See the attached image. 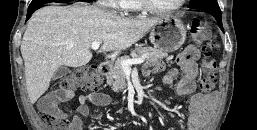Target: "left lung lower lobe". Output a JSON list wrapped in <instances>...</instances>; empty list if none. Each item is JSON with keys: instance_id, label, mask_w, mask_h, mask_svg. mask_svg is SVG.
<instances>
[{"instance_id": "obj_1", "label": "left lung lower lobe", "mask_w": 257, "mask_h": 130, "mask_svg": "<svg viewBox=\"0 0 257 130\" xmlns=\"http://www.w3.org/2000/svg\"><path fill=\"white\" fill-rule=\"evenodd\" d=\"M209 13L218 20L220 28L223 30L222 21H221V12H209Z\"/></svg>"}]
</instances>
